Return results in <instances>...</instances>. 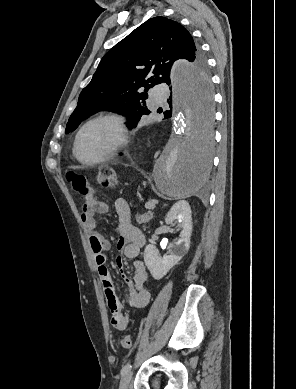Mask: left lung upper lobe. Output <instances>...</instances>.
<instances>
[{
    "label": "left lung upper lobe",
    "instance_id": "1",
    "mask_svg": "<svg viewBox=\"0 0 296 389\" xmlns=\"http://www.w3.org/2000/svg\"><path fill=\"white\" fill-rule=\"evenodd\" d=\"M182 58L191 64L193 86L198 83L200 88L210 89L206 60L190 33L180 23L164 17L147 20L104 55L91 82L80 94L65 133L74 131L84 119L100 110L126 115L130 119L127 126L136 127L141 116L150 113L146 106L148 90L171 82V67ZM198 102L207 125L212 114L206 113L199 99ZM207 135L210 139L208 132Z\"/></svg>",
    "mask_w": 296,
    "mask_h": 389
}]
</instances>
